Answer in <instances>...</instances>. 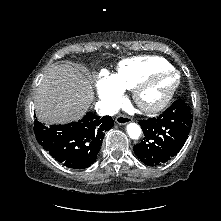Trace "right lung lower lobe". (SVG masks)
<instances>
[{
    "instance_id": "obj_1",
    "label": "right lung lower lobe",
    "mask_w": 221,
    "mask_h": 221,
    "mask_svg": "<svg viewBox=\"0 0 221 221\" xmlns=\"http://www.w3.org/2000/svg\"><path fill=\"white\" fill-rule=\"evenodd\" d=\"M110 116L87 113L82 120L47 127L35 120L36 139L49 154L71 169H85L95 161L104 133L112 128Z\"/></svg>"
}]
</instances>
